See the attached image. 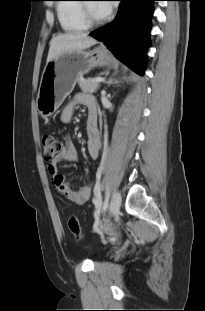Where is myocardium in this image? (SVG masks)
I'll return each mask as SVG.
<instances>
[{
    "label": "myocardium",
    "mask_w": 205,
    "mask_h": 311,
    "mask_svg": "<svg viewBox=\"0 0 205 311\" xmlns=\"http://www.w3.org/2000/svg\"><path fill=\"white\" fill-rule=\"evenodd\" d=\"M80 7H81L82 19L87 27L89 28L98 27L105 22L106 19L104 16L99 19H95L93 17L89 3H83L80 5Z\"/></svg>",
    "instance_id": "f54148a6"
}]
</instances>
